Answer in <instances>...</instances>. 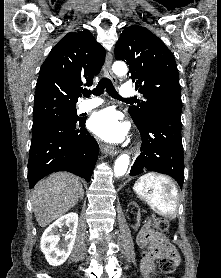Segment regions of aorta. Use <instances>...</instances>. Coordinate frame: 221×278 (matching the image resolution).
I'll return each mask as SVG.
<instances>
[{"instance_id": "762f6f07", "label": "aorta", "mask_w": 221, "mask_h": 278, "mask_svg": "<svg viewBox=\"0 0 221 278\" xmlns=\"http://www.w3.org/2000/svg\"><path fill=\"white\" fill-rule=\"evenodd\" d=\"M112 70L117 76H124L128 72L127 65L121 61L115 62L112 66ZM129 162L130 157L128 154H122L117 158L114 165V174L116 177H121L126 173Z\"/></svg>"}]
</instances>
